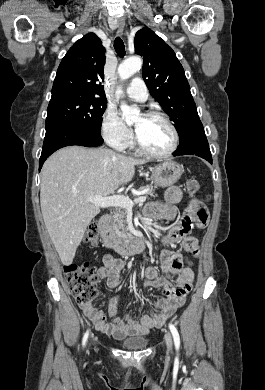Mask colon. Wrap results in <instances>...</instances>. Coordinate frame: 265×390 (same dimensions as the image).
Listing matches in <instances>:
<instances>
[{"instance_id": "1", "label": "colon", "mask_w": 265, "mask_h": 390, "mask_svg": "<svg viewBox=\"0 0 265 390\" xmlns=\"http://www.w3.org/2000/svg\"><path fill=\"white\" fill-rule=\"evenodd\" d=\"M186 187L191 195H196L200 192V185L194 178L187 180ZM98 235L97 225L91 224L88 227L85 240L90 244H95L98 240ZM64 272L68 279L70 291L78 304H90L97 297L99 278L89 263L68 264L64 267Z\"/></svg>"}]
</instances>
